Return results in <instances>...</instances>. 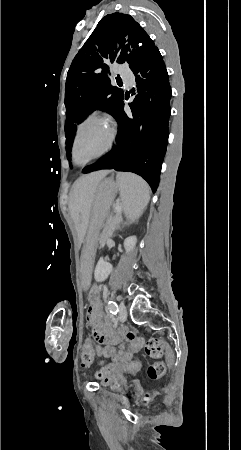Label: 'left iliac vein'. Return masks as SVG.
I'll return each mask as SVG.
<instances>
[{"instance_id":"left-iliac-vein-1","label":"left iliac vein","mask_w":241,"mask_h":450,"mask_svg":"<svg viewBox=\"0 0 241 450\" xmlns=\"http://www.w3.org/2000/svg\"><path fill=\"white\" fill-rule=\"evenodd\" d=\"M118 314H119V320L125 321V319L127 317V309H126V306L124 303H120Z\"/></svg>"}]
</instances>
